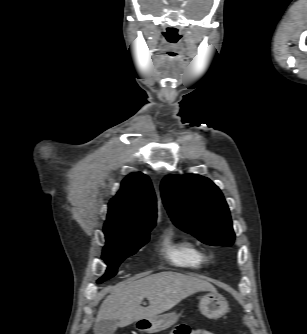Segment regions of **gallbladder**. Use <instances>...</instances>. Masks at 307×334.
<instances>
[{
    "label": "gallbladder",
    "instance_id": "bac80fb5",
    "mask_svg": "<svg viewBox=\"0 0 307 334\" xmlns=\"http://www.w3.org/2000/svg\"><path fill=\"white\" fill-rule=\"evenodd\" d=\"M117 328V320H102L95 323L94 334H114Z\"/></svg>",
    "mask_w": 307,
    "mask_h": 334
}]
</instances>
